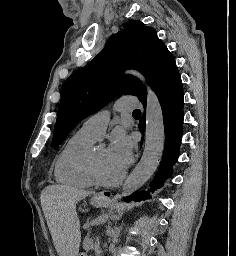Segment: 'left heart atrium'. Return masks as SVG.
Listing matches in <instances>:
<instances>
[{"instance_id": "1", "label": "left heart atrium", "mask_w": 236, "mask_h": 256, "mask_svg": "<svg viewBox=\"0 0 236 256\" xmlns=\"http://www.w3.org/2000/svg\"><path fill=\"white\" fill-rule=\"evenodd\" d=\"M107 153L110 166L117 171H122L131 158V138L122 129H115Z\"/></svg>"}]
</instances>
